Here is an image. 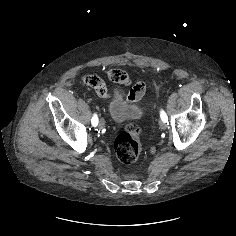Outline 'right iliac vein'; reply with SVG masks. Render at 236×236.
Masks as SVG:
<instances>
[{"label": "right iliac vein", "mask_w": 236, "mask_h": 236, "mask_svg": "<svg viewBox=\"0 0 236 236\" xmlns=\"http://www.w3.org/2000/svg\"><path fill=\"white\" fill-rule=\"evenodd\" d=\"M104 126H105V121L103 119H100L99 127L103 128Z\"/></svg>", "instance_id": "obj_1"}]
</instances>
